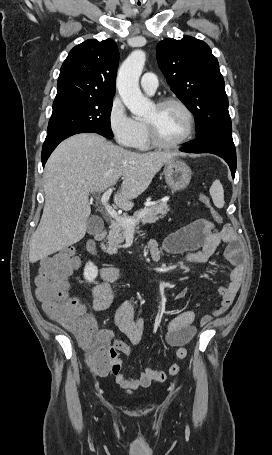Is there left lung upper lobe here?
<instances>
[{
    "instance_id": "obj_1",
    "label": "left lung upper lobe",
    "mask_w": 272,
    "mask_h": 455,
    "mask_svg": "<svg viewBox=\"0 0 272 455\" xmlns=\"http://www.w3.org/2000/svg\"><path fill=\"white\" fill-rule=\"evenodd\" d=\"M157 60L171 90L194 114L197 137L231 124L224 79L205 42L166 38L157 45Z\"/></svg>"
}]
</instances>
